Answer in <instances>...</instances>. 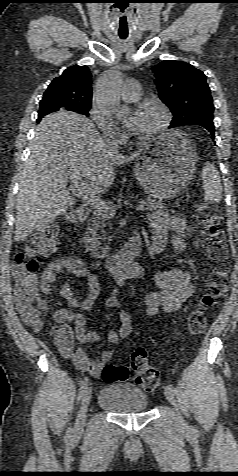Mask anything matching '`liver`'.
<instances>
[{"instance_id": "liver-1", "label": "liver", "mask_w": 238, "mask_h": 476, "mask_svg": "<svg viewBox=\"0 0 238 476\" xmlns=\"http://www.w3.org/2000/svg\"><path fill=\"white\" fill-rule=\"evenodd\" d=\"M30 150L16 200V242L74 206L66 186L71 177H84L93 192L103 194L114 182L115 166L138 156L111 151L89 119L66 111L41 120Z\"/></svg>"}]
</instances>
